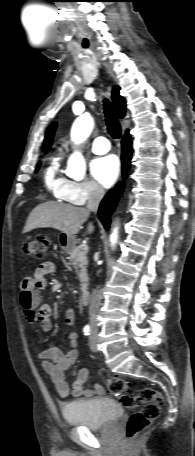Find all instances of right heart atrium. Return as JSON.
<instances>
[{
    "label": "right heart atrium",
    "mask_w": 195,
    "mask_h": 456,
    "mask_svg": "<svg viewBox=\"0 0 195 456\" xmlns=\"http://www.w3.org/2000/svg\"><path fill=\"white\" fill-rule=\"evenodd\" d=\"M102 194V189L89 180L69 181L65 189V199L75 205H84L88 201L97 200Z\"/></svg>",
    "instance_id": "1"
}]
</instances>
